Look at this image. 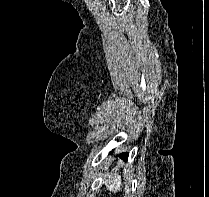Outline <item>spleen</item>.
<instances>
[{
	"instance_id": "obj_1",
	"label": "spleen",
	"mask_w": 209,
	"mask_h": 197,
	"mask_svg": "<svg viewBox=\"0 0 209 197\" xmlns=\"http://www.w3.org/2000/svg\"><path fill=\"white\" fill-rule=\"evenodd\" d=\"M121 185V176L117 173L111 174V176L105 180V186L111 192H118L121 190Z\"/></svg>"
}]
</instances>
